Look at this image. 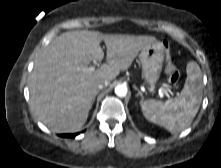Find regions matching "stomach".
<instances>
[{
    "label": "stomach",
    "mask_w": 221,
    "mask_h": 168,
    "mask_svg": "<svg viewBox=\"0 0 221 168\" xmlns=\"http://www.w3.org/2000/svg\"><path fill=\"white\" fill-rule=\"evenodd\" d=\"M165 55L162 42L156 41L145 46L140 53L142 76L150 85L154 86L160 78Z\"/></svg>",
    "instance_id": "0dacf381"
}]
</instances>
